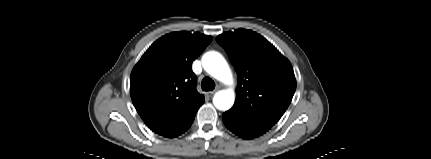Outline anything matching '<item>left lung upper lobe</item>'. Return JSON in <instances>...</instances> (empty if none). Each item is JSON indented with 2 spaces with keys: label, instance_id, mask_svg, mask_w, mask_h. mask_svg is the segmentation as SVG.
I'll list each match as a JSON object with an SVG mask.
<instances>
[{
  "label": "left lung upper lobe",
  "instance_id": "left-lung-upper-lobe-1",
  "mask_svg": "<svg viewBox=\"0 0 431 159\" xmlns=\"http://www.w3.org/2000/svg\"><path fill=\"white\" fill-rule=\"evenodd\" d=\"M217 42L238 75L234 115L273 126L288 108L296 90L291 63L263 36L246 29L224 32Z\"/></svg>",
  "mask_w": 431,
  "mask_h": 159
}]
</instances>
